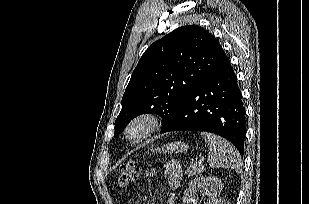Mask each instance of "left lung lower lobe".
Instances as JSON below:
<instances>
[{"mask_svg": "<svg viewBox=\"0 0 309 204\" xmlns=\"http://www.w3.org/2000/svg\"><path fill=\"white\" fill-rule=\"evenodd\" d=\"M245 108L237 77L228 57L210 72L181 103L161 133L206 131L230 141L244 154Z\"/></svg>", "mask_w": 309, "mask_h": 204, "instance_id": "obj_1", "label": "left lung lower lobe"}]
</instances>
